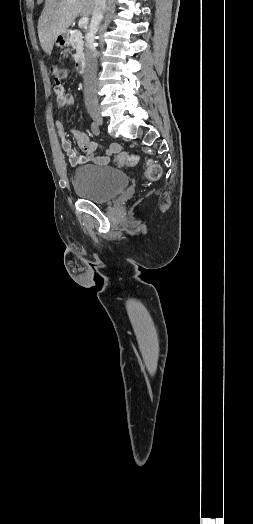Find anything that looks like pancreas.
Instances as JSON below:
<instances>
[{
  "label": "pancreas",
  "mask_w": 253,
  "mask_h": 524,
  "mask_svg": "<svg viewBox=\"0 0 253 524\" xmlns=\"http://www.w3.org/2000/svg\"><path fill=\"white\" fill-rule=\"evenodd\" d=\"M67 41L68 44L72 46L73 49H76L75 58L82 59L84 56V42L82 33L75 29L73 31L67 32Z\"/></svg>",
  "instance_id": "1"
}]
</instances>
